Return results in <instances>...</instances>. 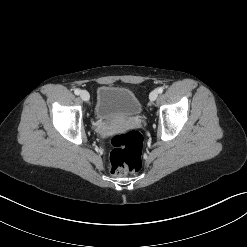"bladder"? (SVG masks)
Listing matches in <instances>:
<instances>
[{
    "instance_id": "bladder-1",
    "label": "bladder",
    "mask_w": 247,
    "mask_h": 247,
    "mask_svg": "<svg viewBox=\"0 0 247 247\" xmlns=\"http://www.w3.org/2000/svg\"><path fill=\"white\" fill-rule=\"evenodd\" d=\"M142 112L137 95L126 87L102 85L97 90L95 117L108 120L118 117H136Z\"/></svg>"
}]
</instances>
